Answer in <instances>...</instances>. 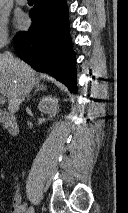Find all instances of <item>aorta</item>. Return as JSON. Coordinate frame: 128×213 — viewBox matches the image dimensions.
I'll return each mask as SVG.
<instances>
[{
    "mask_svg": "<svg viewBox=\"0 0 128 213\" xmlns=\"http://www.w3.org/2000/svg\"><path fill=\"white\" fill-rule=\"evenodd\" d=\"M6 0H0V6H2L5 3Z\"/></svg>",
    "mask_w": 128,
    "mask_h": 213,
    "instance_id": "obj_1",
    "label": "aorta"
}]
</instances>
